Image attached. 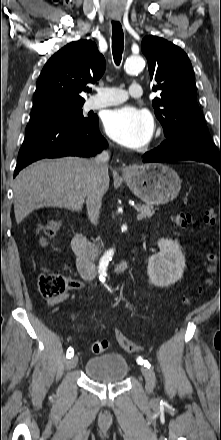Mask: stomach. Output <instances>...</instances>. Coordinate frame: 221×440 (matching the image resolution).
Segmentation results:
<instances>
[{
  "label": "stomach",
  "instance_id": "obj_1",
  "mask_svg": "<svg viewBox=\"0 0 221 440\" xmlns=\"http://www.w3.org/2000/svg\"><path fill=\"white\" fill-rule=\"evenodd\" d=\"M124 180L129 189L149 205L172 201L181 188L178 174L161 163L132 166L124 173Z\"/></svg>",
  "mask_w": 221,
  "mask_h": 440
}]
</instances>
